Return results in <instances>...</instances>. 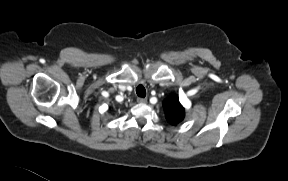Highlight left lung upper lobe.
<instances>
[{
  "label": "left lung upper lobe",
  "mask_w": 288,
  "mask_h": 181,
  "mask_svg": "<svg viewBox=\"0 0 288 181\" xmlns=\"http://www.w3.org/2000/svg\"><path fill=\"white\" fill-rule=\"evenodd\" d=\"M167 121L175 125L184 119L185 111L176 95L167 97L163 102Z\"/></svg>",
  "instance_id": "5c2ea615"
}]
</instances>
